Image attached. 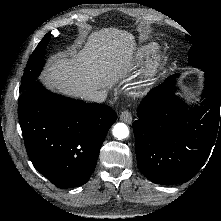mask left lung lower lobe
<instances>
[{
	"label": "left lung lower lobe",
	"mask_w": 221,
	"mask_h": 221,
	"mask_svg": "<svg viewBox=\"0 0 221 221\" xmlns=\"http://www.w3.org/2000/svg\"><path fill=\"white\" fill-rule=\"evenodd\" d=\"M200 107H190L173 93L177 74L150 90L133 123L137 166L158 184L189 181L207 160L221 137V79L204 72Z\"/></svg>",
	"instance_id": "left-lung-lower-lobe-1"
}]
</instances>
